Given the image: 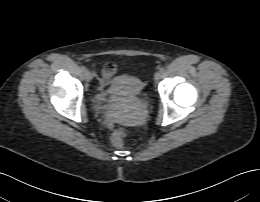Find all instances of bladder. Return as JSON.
Segmentation results:
<instances>
[{
  "mask_svg": "<svg viewBox=\"0 0 260 202\" xmlns=\"http://www.w3.org/2000/svg\"><path fill=\"white\" fill-rule=\"evenodd\" d=\"M140 81L130 75H120L113 79L107 93L116 98L134 99L140 90Z\"/></svg>",
  "mask_w": 260,
  "mask_h": 202,
  "instance_id": "obj_1",
  "label": "bladder"
}]
</instances>
